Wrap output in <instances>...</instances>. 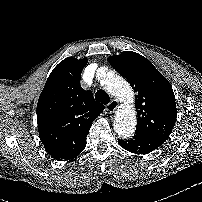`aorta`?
Returning <instances> with one entry per match:
<instances>
[{
    "label": "aorta",
    "mask_w": 202,
    "mask_h": 202,
    "mask_svg": "<svg viewBox=\"0 0 202 202\" xmlns=\"http://www.w3.org/2000/svg\"><path fill=\"white\" fill-rule=\"evenodd\" d=\"M105 69L101 68L98 72L102 74ZM107 91L120 101L128 103L121 107L114 119V130L117 135L123 139L130 138L135 131L137 118L136 111L132 104L134 93L131 86L122 78L107 74L103 81Z\"/></svg>",
    "instance_id": "obj_1"
}]
</instances>
